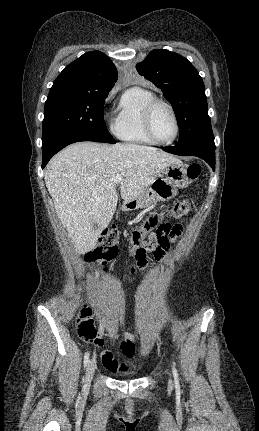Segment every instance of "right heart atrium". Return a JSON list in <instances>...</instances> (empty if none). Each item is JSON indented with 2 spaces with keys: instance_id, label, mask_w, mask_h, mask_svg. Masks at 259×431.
Returning <instances> with one entry per match:
<instances>
[{
  "instance_id": "d8ad5b80",
  "label": "right heart atrium",
  "mask_w": 259,
  "mask_h": 431,
  "mask_svg": "<svg viewBox=\"0 0 259 431\" xmlns=\"http://www.w3.org/2000/svg\"><path fill=\"white\" fill-rule=\"evenodd\" d=\"M115 92H116V89H112V90L108 93L107 98H106V102H110V101L112 100V98H113V97H114V95H115Z\"/></svg>"
}]
</instances>
